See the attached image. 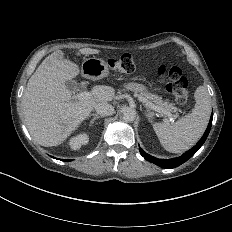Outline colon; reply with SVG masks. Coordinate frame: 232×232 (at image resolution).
Segmentation results:
<instances>
[{
    "mask_svg": "<svg viewBox=\"0 0 232 232\" xmlns=\"http://www.w3.org/2000/svg\"><path fill=\"white\" fill-rule=\"evenodd\" d=\"M110 61H115L114 65L117 66L115 69L116 73H137L138 69L134 68V62L129 61V56H110ZM166 82L174 85L170 87L171 94H175L174 102L177 105H186V94H189L190 81L177 72L172 71L166 77ZM179 111H184V106H179Z\"/></svg>",
    "mask_w": 232,
    "mask_h": 232,
    "instance_id": "1",
    "label": "colon"
}]
</instances>
